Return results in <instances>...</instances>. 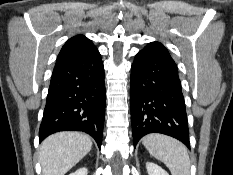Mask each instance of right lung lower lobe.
<instances>
[{
	"label": "right lung lower lobe",
	"instance_id": "98d812e1",
	"mask_svg": "<svg viewBox=\"0 0 233 175\" xmlns=\"http://www.w3.org/2000/svg\"><path fill=\"white\" fill-rule=\"evenodd\" d=\"M104 116V67L98 50L55 66L39 130L40 142L58 131H83L100 148Z\"/></svg>",
	"mask_w": 233,
	"mask_h": 175
}]
</instances>
